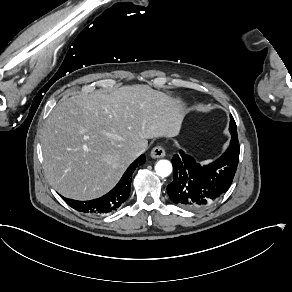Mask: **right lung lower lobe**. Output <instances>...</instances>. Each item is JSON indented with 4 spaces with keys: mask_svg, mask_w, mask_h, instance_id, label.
I'll return each mask as SVG.
<instances>
[{
    "mask_svg": "<svg viewBox=\"0 0 292 292\" xmlns=\"http://www.w3.org/2000/svg\"><path fill=\"white\" fill-rule=\"evenodd\" d=\"M146 161L145 155H141L137 158L126 170L119 183L106 195L89 200L78 201L68 199L63 196L61 198L73 209L88 213V214H103L116 210L121 206L129 197L131 187V176L136 167L140 164H144Z\"/></svg>",
    "mask_w": 292,
    "mask_h": 292,
    "instance_id": "98d812e1",
    "label": "right lung lower lobe"
}]
</instances>
